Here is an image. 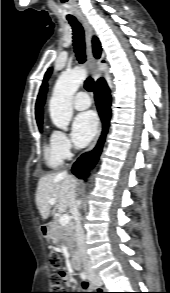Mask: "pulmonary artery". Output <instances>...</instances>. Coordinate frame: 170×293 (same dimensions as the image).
<instances>
[{
    "instance_id": "obj_1",
    "label": "pulmonary artery",
    "mask_w": 170,
    "mask_h": 293,
    "mask_svg": "<svg viewBox=\"0 0 170 293\" xmlns=\"http://www.w3.org/2000/svg\"><path fill=\"white\" fill-rule=\"evenodd\" d=\"M73 106L77 110H85L91 106V101L86 92H78L73 100Z\"/></svg>"
}]
</instances>
